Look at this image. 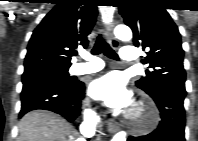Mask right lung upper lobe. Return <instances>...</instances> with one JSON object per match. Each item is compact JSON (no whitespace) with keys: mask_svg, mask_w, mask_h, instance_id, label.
<instances>
[{"mask_svg":"<svg viewBox=\"0 0 198 141\" xmlns=\"http://www.w3.org/2000/svg\"><path fill=\"white\" fill-rule=\"evenodd\" d=\"M96 16L94 0H61L34 30L27 48L24 72L69 68L77 45H88L87 36Z\"/></svg>","mask_w":198,"mask_h":141,"instance_id":"cb5924a9","label":"right lung upper lobe"}]
</instances>
